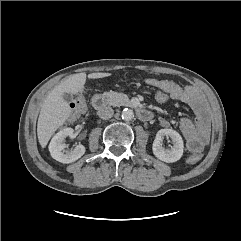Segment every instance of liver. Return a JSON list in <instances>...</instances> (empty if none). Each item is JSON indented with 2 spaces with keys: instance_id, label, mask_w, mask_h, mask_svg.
Segmentation results:
<instances>
[{
  "instance_id": "1",
  "label": "liver",
  "mask_w": 241,
  "mask_h": 241,
  "mask_svg": "<svg viewBox=\"0 0 241 241\" xmlns=\"http://www.w3.org/2000/svg\"><path fill=\"white\" fill-rule=\"evenodd\" d=\"M110 73H78L69 76L61 81L44 100L37 124L38 140L42 148L46 147L48 141L61 127L71 114L68 103L64 100V93L76 94L79 92L86 82V78L98 79L110 76Z\"/></svg>"
}]
</instances>
